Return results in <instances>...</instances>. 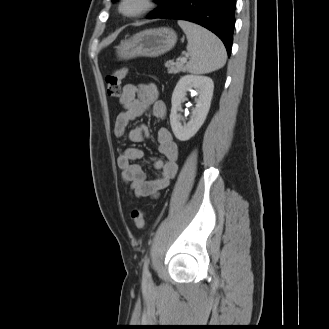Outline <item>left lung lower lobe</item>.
I'll list each match as a JSON object with an SVG mask.
<instances>
[{"label":"left lung lower lobe","mask_w":329,"mask_h":329,"mask_svg":"<svg viewBox=\"0 0 329 329\" xmlns=\"http://www.w3.org/2000/svg\"><path fill=\"white\" fill-rule=\"evenodd\" d=\"M158 3L160 6L148 15L149 19H180L199 24L222 40L230 56L236 0H160Z\"/></svg>","instance_id":"0a47b994"}]
</instances>
